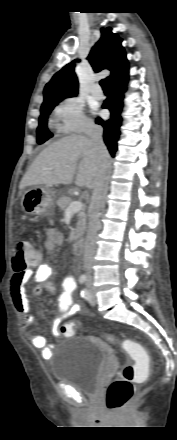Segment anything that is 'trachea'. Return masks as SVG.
Listing matches in <instances>:
<instances>
[{"label": "trachea", "instance_id": "trachea-1", "mask_svg": "<svg viewBox=\"0 0 177 440\" xmlns=\"http://www.w3.org/2000/svg\"><path fill=\"white\" fill-rule=\"evenodd\" d=\"M100 85L103 90H109V87L104 79L100 81Z\"/></svg>", "mask_w": 177, "mask_h": 440}]
</instances>
